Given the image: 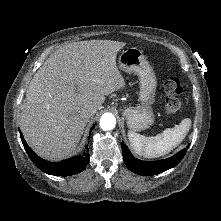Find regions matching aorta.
I'll return each mask as SVG.
<instances>
[{
	"mask_svg": "<svg viewBox=\"0 0 221 221\" xmlns=\"http://www.w3.org/2000/svg\"><path fill=\"white\" fill-rule=\"evenodd\" d=\"M116 119L111 113H105L100 118V127L104 131L112 130L115 127Z\"/></svg>",
	"mask_w": 221,
	"mask_h": 221,
	"instance_id": "1",
	"label": "aorta"
}]
</instances>
